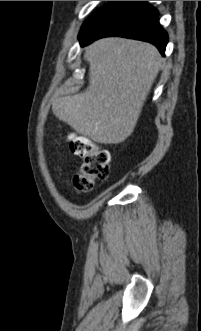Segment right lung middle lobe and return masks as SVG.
Segmentation results:
<instances>
[{"label":"right lung middle lobe","instance_id":"obj_1","mask_svg":"<svg viewBox=\"0 0 201 331\" xmlns=\"http://www.w3.org/2000/svg\"><path fill=\"white\" fill-rule=\"evenodd\" d=\"M116 1L111 2L110 4H108L106 7H104L103 9L99 10L98 12H96L94 15H92L90 18H88L84 24L81 27V31L80 34L84 33L85 31H87L98 19L101 18V16L115 3ZM79 34V35H80Z\"/></svg>","mask_w":201,"mask_h":331}]
</instances>
